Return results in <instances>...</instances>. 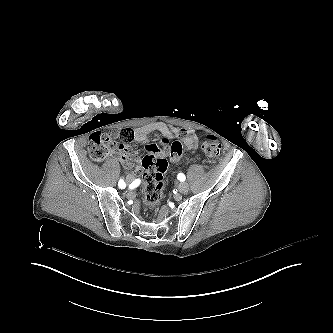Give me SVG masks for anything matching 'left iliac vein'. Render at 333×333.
<instances>
[{"label":"left iliac vein","mask_w":333,"mask_h":333,"mask_svg":"<svg viewBox=\"0 0 333 333\" xmlns=\"http://www.w3.org/2000/svg\"><path fill=\"white\" fill-rule=\"evenodd\" d=\"M188 190H189V186L186 182H182V183L179 184L178 191L180 193L185 194V193L188 192Z\"/></svg>","instance_id":"4c4485c4"}]
</instances>
